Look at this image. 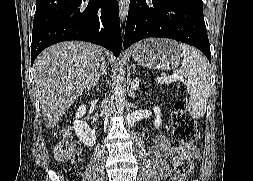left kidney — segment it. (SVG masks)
<instances>
[{
    "label": "left kidney",
    "mask_w": 253,
    "mask_h": 181,
    "mask_svg": "<svg viewBox=\"0 0 253 181\" xmlns=\"http://www.w3.org/2000/svg\"><path fill=\"white\" fill-rule=\"evenodd\" d=\"M153 111L155 114L154 127L158 129L162 126L161 109L158 106H154Z\"/></svg>",
    "instance_id": "left-kidney-1"
}]
</instances>
